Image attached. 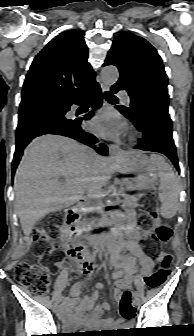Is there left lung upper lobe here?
I'll list each match as a JSON object with an SVG mask.
<instances>
[{
  "label": "left lung upper lobe",
  "instance_id": "1",
  "mask_svg": "<svg viewBox=\"0 0 194 336\" xmlns=\"http://www.w3.org/2000/svg\"><path fill=\"white\" fill-rule=\"evenodd\" d=\"M104 65L119 69L120 78L114 85L128 92L131 104L118 108L128 119L168 112L167 75L161 57L148 41L130 32L121 33L114 39Z\"/></svg>",
  "mask_w": 194,
  "mask_h": 336
}]
</instances>
